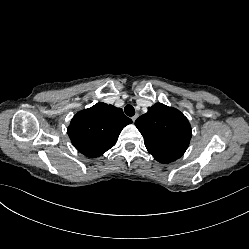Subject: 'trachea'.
<instances>
[{"label":"trachea","instance_id":"obj_1","mask_svg":"<svg viewBox=\"0 0 249 249\" xmlns=\"http://www.w3.org/2000/svg\"><path fill=\"white\" fill-rule=\"evenodd\" d=\"M124 111L126 113L127 116H134L135 114V109L132 105H126L125 108H124Z\"/></svg>","mask_w":249,"mask_h":249}]
</instances>
